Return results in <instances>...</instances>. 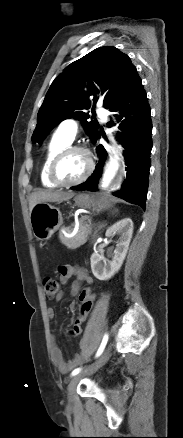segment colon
Listing matches in <instances>:
<instances>
[{"label":"colon","instance_id":"obj_1","mask_svg":"<svg viewBox=\"0 0 183 438\" xmlns=\"http://www.w3.org/2000/svg\"><path fill=\"white\" fill-rule=\"evenodd\" d=\"M60 292V285L59 283L53 279V278H46L44 280V293L45 298L47 300H53L57 297V295ZM95 294L91 293L90 295L82 294L80 303H79V318L85 322L88 319V316L91 312V309L93 307L94 301H95Z\"/></svg>","mask_w":183,"mask_h":438}]
</instances>
